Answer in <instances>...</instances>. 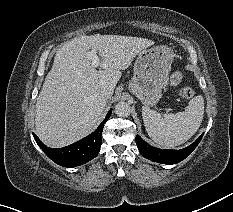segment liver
Instances as JSON below:
<instances>
[{"instance_id":"6515ba94","label":"liver","mask_w":233,"mask_h":212,"mask_svg":"<svg viewBox=\"0 0 233 212\" xmlns=\"http://www.w3.org/2000/svg\"><path fill=\"white\" fill-rule=\"evenodd\" d=\"M153 44L146 38L99 34L65 42L56 52L37 98L35 127L39 139L48 147L61 148L86 136L108 100L101 89L114 91L121 70ZM89 49L98 51L102 70L92 67Z\"/></svg>"}]
</instances>
